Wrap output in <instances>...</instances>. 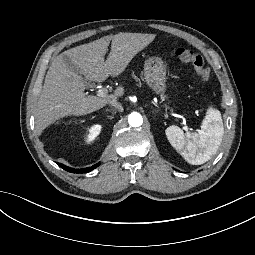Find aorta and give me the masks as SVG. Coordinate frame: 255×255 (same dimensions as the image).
Returning <instances> with one entry per match:
<instances>
[{"instance_id": "obj_1", "label": "aorta", "mask_w": 255, "mask_h": 255, "mask_svg": "<svg viewBox=\"0 0 255 255\" xmlns=\"http://www.w3.org/2000/svg\"><path fill=\"white\" fill-rule=\"evenodd\" d=\"M129 125L132 127H139L143 123L142 116L137 112H132L128 117Z\"/></svg>"}]
</instances>
